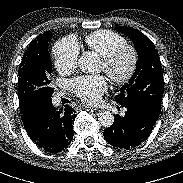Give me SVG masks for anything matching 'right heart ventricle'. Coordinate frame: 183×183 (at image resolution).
I'll return each instance as SVG.
<instances>
[{"mask_svg":"<svg viewBox=\"0 0 183 183\" xmlns=\"http://www.w3.org/2000/svg\"><path fill=\"white\" fill-rule=\"evenodd\" d=\"M87 47L100 56H104L112 50L126 44V39L111 30H97L85 37Z\"/></svg>","mask_w":183,"mask_h":183,"instance_id":"obj_1","label":"right heart ventricle"}]
</instances>
